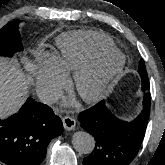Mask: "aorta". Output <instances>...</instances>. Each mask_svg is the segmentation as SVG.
Masks as SVG:
<instances>
[{"mask_svg": "<svg viewBox=\"0 0 165 165\" xmlns=\"http://www.w3.org/2000/svg\"><path fill=\"white\" fill-rule=\"evenodd\" d=\"M72 144L77 152L81 154H89L94 150L95 140L91 134L79 131L74 133Z\"/></svg>", "mask_w": 165, "mask_h": 165, "instance_id": "762f6f07", "label": "aorta"}]
</instances>
